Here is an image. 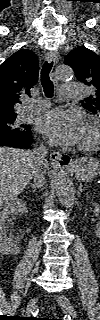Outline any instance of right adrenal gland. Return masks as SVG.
<instances>
[{
    "mask_svg": "<svg viewBox=\"0 0 100 320\" xmlns=\"http://www.w3.org/2000/svg\"><path fill=\"white\" fill-rule=\"evenodd\" d=\"M29 185L31 186L33 192H36V191H37V188H36L35 184L29 183Z\"/></svg>",
    "mask_w": 100,
    "mask_h": 320,
    "instance_id": "obj_1",
    "label": "right adrenal gland"
}]
</instances>
